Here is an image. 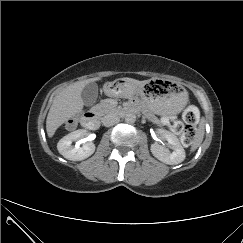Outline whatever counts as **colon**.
Here are the masks:
<instances>
[{
  "label": "colon",
  "mask_w": 243,
  "mask_h": 243,
  "mask_svg": "<svg viewBox=\"0 0 243 243\" xmlns=\"http://www.w3.org/2000/svg\"><path fill=\"white\" fill-rule=\"evenodd\" d=\"M198 120V109L195 106H188L184 110L181 120L169 116L166 117L165 122L170 126L173 133L180 136V140L184 145H190L196 137V124ZM73 122V120H70L68 125L72 126Z\"/></svg>",
  "instance_id": "colon-1"
}]
</instances>
